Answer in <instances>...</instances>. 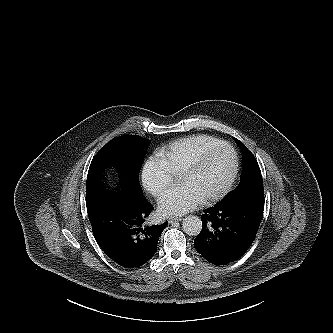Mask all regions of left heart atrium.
<instances>
[{
	"label": "left heart atrium",
	"mask_w": 333,
	"mask_h": 333,
	"mask_svg": "<svg viewBox=\"0 0 333 333\" xmlns=\"http://www.w3.org/2000/svg\"><path fill=\"white\" fill-rule=\"evenodd\" d=\"M203 197L190 185L181 184L165 192L159 199V210L165 215H181L196 208Z\"/></svg>",
	"instance_id": "1"
}]
</instances>
